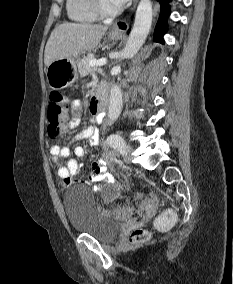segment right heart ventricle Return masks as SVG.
Wrapping results in <instances>:
<instances>
[{
    "instance_id": "obj_1",
    "label": "right heart ventricle",
    "mask_w": 233,
    "mask_h": 284,
    "mask_svg": "<svg viewBox=\"0 0 233 284\" xmlns=\"http://www.w3.org/2000/svg\"><path fill=\"white\" fill-rule=\"evenodd\" d=\"M66 10L68 17L75 22L92 23L99 17L93 9L92 0H67Z\"/></svg>"
}]
</instances>
